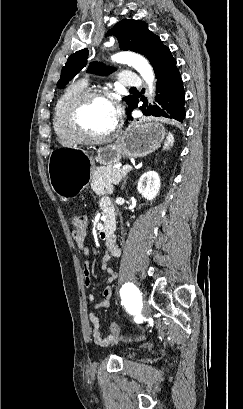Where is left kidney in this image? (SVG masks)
I'll use <instances>...</instances> for the list:
<instances>
[{
    "label": "left kidney",
    "instance_id": "left-kidney-1",
    "mask_svg": "<svg viewBox=\"0 0 243 409\" xmlns=\"http://www.w3.org/2000/svg\"><path fill=\"white\" fill-rule=\"evenodd\" d=\"M161 187L160 177L155 171L144 173L138 182L137 190L148 201H152L158 195Z\"/></svg>",
    "mask_w": 243,
    "mask_h": 409
}]
</instances>
